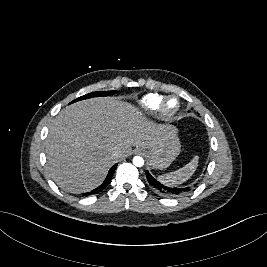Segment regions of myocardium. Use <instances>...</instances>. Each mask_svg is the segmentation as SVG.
I'll use <instances>...</instances> for the list:
<instances>
[{
    "mask_svg": "<svg viewBox=\"0 0 267 267\" xmlns=\"http://www.w3.org/2000/svg\"><path fill=\"white\" fill-rule=\"evenodd\" d=\"M171 100H175L177 105H176L174 110L169 111L167 109V103ZM179 110H180V101L175 96L164 97L161 100V102L158 106V109H157L160 118L163 120H170V119L174 118L177 115V113L179 112Z\"/></svg>",
    "mask_w": 267,
    "mask_h": 267,
    "instance_id": "myocardium-1",
    "label": "myocardium"
}]
</instances>
